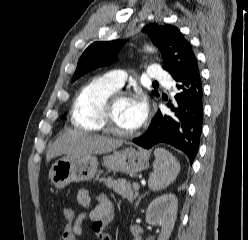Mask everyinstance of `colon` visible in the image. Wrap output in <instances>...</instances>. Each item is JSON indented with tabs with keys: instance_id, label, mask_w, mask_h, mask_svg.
I'll use <instances>...</instances> for the list:
<instances>
[{
	"instance_id": "5ec220e1",
	"label": "colon",
	"mask_w": 248,
	"mask_h": 240,
	"mask_svg": "<svg viewBox=\"0 0 248 240\" xmlns=\"http://www.w3.org/2000/svg\"><path fill=\"white\" fill-rule=\"evenodd\" d=\"M62 214H63V218H64L65 222L66 223L70 222L76 216V209L74 207H71V206H66L63 208Z\"/></svg>"
}]
</instances>
